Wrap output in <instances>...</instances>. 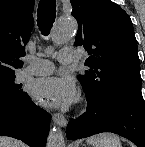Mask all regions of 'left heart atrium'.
Instances as JSON below:
<instances>
[{"label": "left heart atrium", "instance_id": "obj_1", "mask_svg": "<svg viewBox=\"0 0 145 147\" xmlns=\"http://www.w3.org/2000/svg\"><path fill=\"white\" fill-rule=\"evenodd\" d=\"M76 88L71 78L46 77L35 82L32 96L43 105L65 108L73 103Z\"/></svg>", "mask_w": 145, "mask_h": 147}]
</instances>
